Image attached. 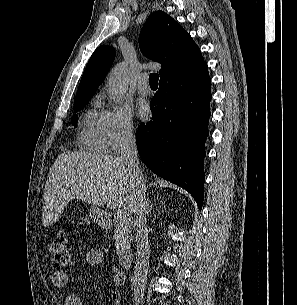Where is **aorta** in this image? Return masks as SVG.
Masks as SVG:
<instances>
[{
    "label": "aorta",
    "instance_id": "1",
    "mask_svg": "<svg viewBox=\"0 0 297 305\" xmlns=\"http://www.w3.org/2000/svg\"><path fill=\"white\" fill-rule=\"evenodd\" d=\"M128 89V68L126 64H117L109 73L108 92L110 98L120 103Z\"/></svg>",
    "mask_w": 297,
    "mask_h": 305
}]
</instances>
